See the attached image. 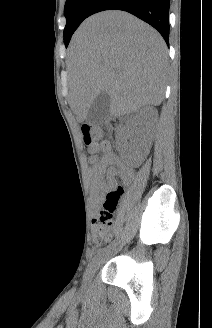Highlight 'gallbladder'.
<instances>
[{"instance_id": "obj_1", "label": "gallbladder", "mask_w": 212, "mask_h": 328, "mask_svg": "<svg viewBox=\"0 0 212 328\" xmlns=\"http://www.w3.org/2000/svg\"><path fill=\"white\" fill-rule=\"evenodd\" d=\"M111 98L108 93L99 94L92 102L88 115L87 122L90 125H98L107 119L110 115Z\"/></svg>"}]
</instances>
